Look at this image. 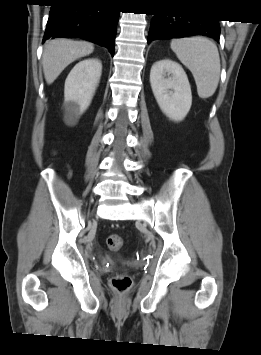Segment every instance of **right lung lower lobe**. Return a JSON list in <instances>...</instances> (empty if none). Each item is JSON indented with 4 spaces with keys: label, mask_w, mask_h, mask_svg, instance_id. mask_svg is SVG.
Segmentation results:
<instances>
[{
    "label": "right lung lower lobe",
    "mask_w": 261,
    "mask_h": 355,
    "mask_svg": "<svg viewBox=\"0 0 261 355\" xmlns=\"http://www.w3.org/2000/svg\"><path fill=\"white\" fill-rule=\"evenodd\" d=\"M104 0H53L43 37L83 38L104 45L114 55L120 12Z\"/></svg>",
    "instance_id": "98d812e1"
}]
</instances>
